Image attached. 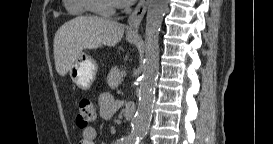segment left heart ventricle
Wrapping results in <instances>:
<instances>
[{
    "instance_id": "obj_1",
    "label": "left heart ventricle",
    "mask_w": 273,
    "mask_h": 144,
    "mask_svg": "<svg viewBox=\"0 0 273 144\" xmlns=\"http://www.w3.org/2000/svg\"><path fill=\"white\" fill-rule=\"evenodd\" d=\"M105 4H112V0H103Z\"/></svg>"
}]
</instances>
